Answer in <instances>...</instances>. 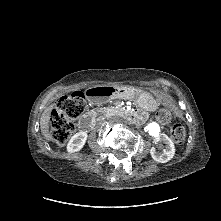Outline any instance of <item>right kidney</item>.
<instances>
[{"label":"right kidney","mask_w":221,"mask_h":221,"mask_svg":"<svg viewBox=\"0 0 221 221\" xmlns=\"http://www.w3.org/2000/svg\"><path fill=\"white\" fill-rule=\"evenodd\" d=\"M87 137L88 135L86 132H79L74 134L68 142L67 151L70 153L80 151L85 145Z\"/></svg>","instance_id":"ca27d5eb"}]
</instances>
